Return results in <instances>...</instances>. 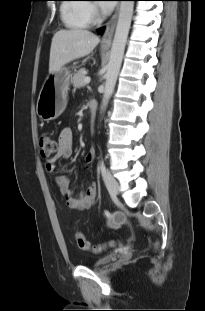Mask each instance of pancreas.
<instances>
[{
    "label": "pancreas",
    "instance_id": "obj_1",
    "mask_svg": "<svg viewBox=\"0 0 205 311\" xmlns=\"http://www.w3.org/2000/svg\"><path fill=\"white\" fill-rule=\"evenodd\" d=\"M86 70L80 69L74 76L71 78V83L75 88H81L85 86L84 79L86 77Z\"/></svg>",
    "mask_w": 205,
    "mask_h": 311
}]
</instances>
